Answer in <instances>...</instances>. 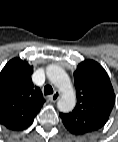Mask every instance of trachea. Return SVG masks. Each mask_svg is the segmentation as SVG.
<instances>
[{"label": "trachea", "mask_w": 118, "mask_h": 142, "mask_svg": "<svg viewBox=\"0 0 118 142\" xmlns=\"http://www.w3.org/2000/svg\"><path fill=\"white\" fill-rule=\"evenodd\" d=\"M53 92H54V91H53L52 86L46 85V86L44 87V94H45V95H50V94H52Z\"/></svg>", "instance_id": "1"}]
</instances>
